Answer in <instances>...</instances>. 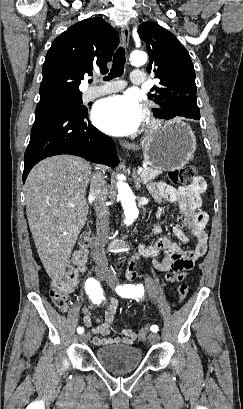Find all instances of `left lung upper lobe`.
I'll use <instances>...</instances> for the list:
<instances>
[{"label": "left lung upper lobe", "mask_w": 243, "mask_h": 409, "mask_svg": "<svg viewBox=\"0 0 243 409\" xmlns=\"http://www.w3.org/2000/svg\"><path fill=\"white\" fill-rule=\"evenodd\" d=\"M138 33L150 57L147 71L160 79L161 86L153 87L155 93L148 94L161 107L156 116L168 119L175 112H181V116L199 114L195 71L185 47L174 34L155 23H142Z\"/></svg>", "instance_id": "obj_1"}]
</instances>
